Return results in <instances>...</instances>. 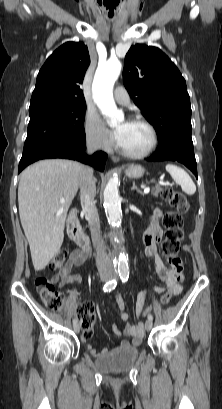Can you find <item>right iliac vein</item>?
Returning a JSON list of instances; mask_svg holds the SVG:
<instances>
[{"label":"right iliac vein","mask_w":222,"mask_h":409,"mask_svg":"<svg viewBox=\"0 0 222 409\" xmlns=\"http://www.w3.org/2000/svg\"><path fill=\"white\" fill-rule=\"evenodd\" d=\"M109 279V277L107 276V275H101V280L102 281H106V280H108ZM74 330L76 331V332H79L80 331V326L76 323V324H74Z\"/></svg>","instance_id":"right-iliac-vein-1"}]
</instances>
